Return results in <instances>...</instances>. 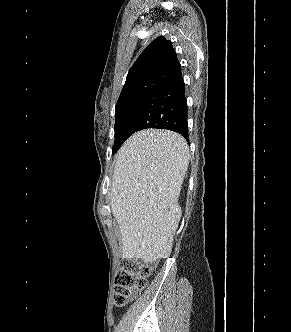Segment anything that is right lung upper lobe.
I'll return each instance as SVG.
<instances>
[{
	"mask_svg": "<svg viewBox=\"0 0 291 332\" xmlns=\"http://www.w3.org/2000/svg\"><path fill=\"white\" fill-rule=\"evenodd\" d=\"M180 73L181 66L172 43L160 36L146 47L129 70L118 100L149 93Z\"/></svg>",
	"mask_w": 291,
	"mask_h": 332,
	"instance_id": "cb5924a9",
	"label": "right lung upper lobe"
}]
</instances>
